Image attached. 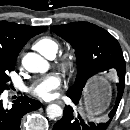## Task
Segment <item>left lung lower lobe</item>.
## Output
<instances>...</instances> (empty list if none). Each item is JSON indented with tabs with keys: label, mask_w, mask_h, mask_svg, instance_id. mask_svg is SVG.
<instances>
[{
	"label": "left lung lower lobe",
	"mask_w": 130,
	"mask_h": 130,
	"mask_svg": "<svg viewBox=\"0 0 130 130\" xmlns=\"http://www.w3.org/2000/svg\"><path fill=\"white\" fill-rule=\"evenodd\" d=\"M121 75L125 77L124 72H121ZM70 98L75 105L79 103L80 98ZM119 102L116 100L113 109L108 114V120L103 123L87 122L79 114H76L71 106H65L63 117L57 121L53 130H106L117 111Z\"/></svg>",
	"instance_id": "1"
}]
</instances>
